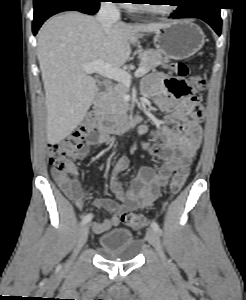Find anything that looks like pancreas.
<instances>
[{"instance_id":"1","label":"pancreas","mask_w":246,"mask_h":300,"mask_svg":"<svg viewBox=\"0 0 246 300\" xmlns=\"http://www.w3.org/2000/svg\"><path fill=\"white\" fill-rule=\"evenodd\" d=\"M141 67L148 73L155 67L168 62L157 50H146L139 54ZM127 85L118 83L108 88L99 99V109L102 114L120 115L127 110Z\"/></svg>"}]
</instances>
